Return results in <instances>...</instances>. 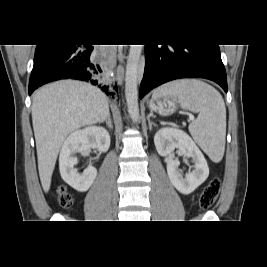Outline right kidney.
Segmentation results:
<instances>
[{
	"mask_svg": "<svg viewBox=\"0 0 267 267\" xmlns=\"http://www.w3.org/2000/svg\"><path fill=\"white\" fill-rule=\"evenodd\" d=\"M110 146V135L102 127L89 126L76 130L65 140L60 156L59 169L63 180L79 192L87 191L97 176L91 164L80 174L74 166L78 163L75 153H87L91 148L106 152Z\"/></svg>",
	"mask_w": 267,
	"mask_h": 267,
	"instance_id": "1",
	"label": "right kidney"
}]
</instances>
